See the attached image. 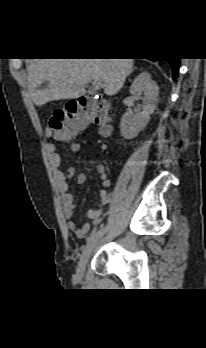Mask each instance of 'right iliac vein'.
<instances>
[{"instance_id":"63e3f726","label":"right iliac vein","mask_w":206,"mask_h":348,"mask_svg":"<svg viewBox=\"0 0 206 348\" xmlns=\"http://www.w3.org/2000/svg\"><path fill=\"white\" fill-rule=\"evenodd\" d=\"M106 229L105 228H101L100 230H98L93 236H91L84 249H83V252H82V255L80 257V260L78 262V265H77V276L79 279H81L84 275V272H85V267H86V264L97 244V242L102 238V236L104 235Z\"/></svg>"}]
</instances>
